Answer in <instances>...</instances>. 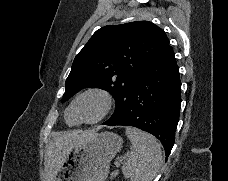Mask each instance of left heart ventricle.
Wrapping results in <instances>:
<instances>
[{"instance_id": "1", "label": "left heart ventricle", "mask_w": 228, "mask_h": 181, "mask_svg": "<svg viewBox=\"0 0 228 181\" xmlns=\"http://www.w3.org/2000/svg\"><path fill=\"white\" fill-rule=\"evenodd\" d=\"M99 107L100 100L95 96L83 97L78 104L79 111L87 119H91L96 116Z\"/></svg>"}]
</instances>
